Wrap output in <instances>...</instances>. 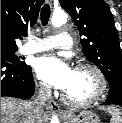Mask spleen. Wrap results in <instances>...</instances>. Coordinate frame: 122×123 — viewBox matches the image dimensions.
<instances>
[{"mask_svg": "<svg viewBox=\"0 0 122 123\" xmlns=\"http://www.w3.org/2000/svg\"><path fill=\"white\" fill-rule=\"evenodd\" d=\"M105 110L111 114V123H122V111L114 106L106 107Z\"/></svg>", "mask_w": 122, "mask_h": 123, "instance_id": "obj_1", "label": "spleen"}]
</instances>
